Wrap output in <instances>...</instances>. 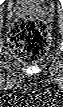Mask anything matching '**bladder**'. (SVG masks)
Listing matches in <instances>:
<instances>
[{
	"label": "bladder",
	"instance_id": "obj_1",
	"mask_svg": "<svg viewBox=\"0 0 63 107\" xmlns=\"http://www.w3.org/2000/svg\"><path fill=\"white\" fill-rule=\"evenodd\" d=\"M18 3H24V0H16ZM31 3H39L40 1H30Z\"/></svg>",
	"mask_w": 63,
	"mask_h": 107
}]
</instances>
